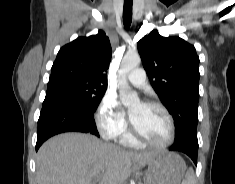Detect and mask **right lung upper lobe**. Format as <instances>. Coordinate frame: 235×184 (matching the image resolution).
I'll use <instances>...</instances> for the list:
<instances>
[{"label":"right lung upper lobe","mask_w":235,"mask_h":184,"mask_svg":"<svg viewBox=\"0 0 235 184\" xmlns=\"http://www.w3.org/2000/svg\"><path fill=\"white\" fill-rule=\"evenodd\" d=\"M111 56L110 41L102 30L97 35L77 38L59 50L47 90H56L68 80L107 86Z\"/></svg>","instance_id":"right-lung-upper-lobe-1"}]
</instances>
